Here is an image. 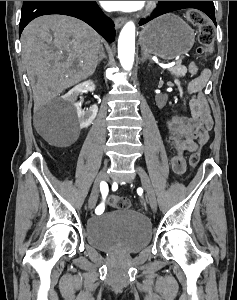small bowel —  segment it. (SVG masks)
<instances>
[{"label":"small bowel","instance_id":"1","mask_svg":"<svg viewBox=\"0 0 237 300\" xmlns=\"http://www.w3.org/2000/svg\"><path fill=\"white\" fill-rule=\"evenodd\" d=\"M189 73L193 76L187 86L188 92L192 95L188 105L190 116H174L167 121L165 130L166 139L175 152L171 165L176 175H182L185 172V154L197 148V141L204 145L213 127V119L203 94L210 72L209 70L199 72L197 65L192 62L189 65ZM79 186L85 188L87 184L80 180ZM102 199H104L103 196Z\"/></svg>","mask_w":237,"mask_h":300}]
</instances>
